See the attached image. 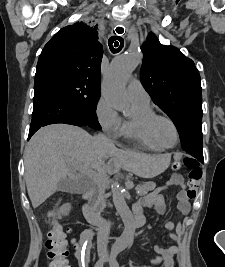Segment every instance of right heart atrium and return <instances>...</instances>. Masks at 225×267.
I'll use <instances>...</instances> for the list:
<instances>
[{
  "label": "right heart atrium",
  "instance_id": "d8ad5b80",
  "mask_svg": "<svg viewBox=\"0 0 225 267\" xmlns=\"http://www.w3.org/2000/svg\"><path fill=\"white\" fill-rule=\"evenodd\" d=\"M96 115L100 125L108 133L116 135L121 131L122 119L115 106L104 96L98 101Z\"/></svg>",
  "mask_w": 225,
  "mask_h": 267
}]
</instances>
